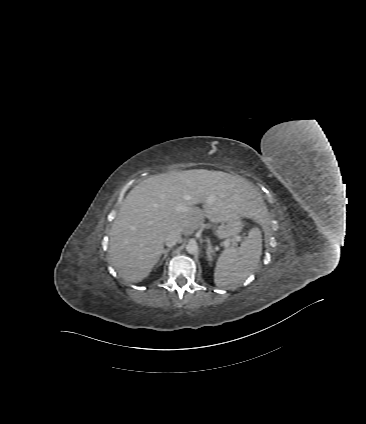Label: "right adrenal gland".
Returning <instances> with one entry per match:
<instances>
[{
    "label": "right adrenal gland",
    "instance_id": "1",
    "mask_svg": "<svg viewBox=\"0 0 366 424\" xmlns=\"http://www.w3.org/2000/svg\"><path fill=\"white\" fill-rule=\"evenodd\" d=\"M171 251V248L168 249H164L162 251L163 257L162 260L159 262L158 266L162 265V262L166 259V257L168 256V253Z\"/></svg>",
    "mask_w": 366,
    "mask_h": 424
}]
</instances>
